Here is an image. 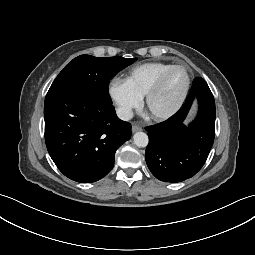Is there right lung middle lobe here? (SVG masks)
Instances as JSON below:
<instances>
[{"mask_svg":"<svg viewBox=\"0 0 255 255\" xmlns=\"http://www.w3.org/2000/svg\"><path fill=\"white\" fill-rule=\"evenodd\" d=\"M137 58L94 57L81 55L68 63L52 83L48 92L75 90L97 96L106 104H112L108 93L109 81Z\"/></svg>","mask_w":255,"mask_h":255,"instance_id":"obj_1","label":"right lung middle lobe"}]
</instances>
